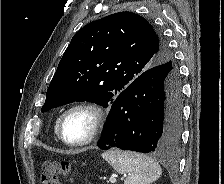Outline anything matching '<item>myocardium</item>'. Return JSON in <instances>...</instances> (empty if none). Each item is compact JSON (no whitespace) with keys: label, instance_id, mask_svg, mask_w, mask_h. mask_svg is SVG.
Here are the masks:
<instances>
[{"label":"myocardium","instance_id":"obj_1","mask_svg":"<svg viewBox=\"0 0 224 184\" xmlns=\"http://www.w3.org/2000/svg\"><path fill=\"white\" fill-rule=\"evenodd\" d=\"M79 110L89 112L93 117V123H92L90 133L88 134V136L85 139H83L81 141H77V142H72V141L67 140L64 137L63 125H64L66 118L72 112L79 111ZM106 117H107V114L101 105H99L95 102H91V101L77 102V103L69 106L60 116V118L58 120V124H57V135H58L59 139L65 145H67L69 147L80 148V147L87 146V145L93 143L102 133L103 128L106 123Z\"/></svg>","mask_w":224,"mask_h":184}]
</instances>
